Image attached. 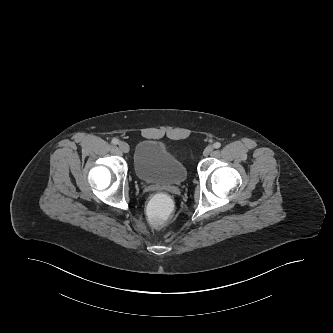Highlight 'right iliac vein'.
<instances>
[{"instance_id": "1", "label": "right iliac vein", "mask_w": 333, "mask_h": 333, "mask_svg": "<svg viewBox=\"0 0 333 333\" xmlns=\"http://www.w3.org/2000/svg\"><path fill=\"white\" fill-rule=\"evenodd\" d=\"M118 147L123 153H128L130 149L129 145L126 142H120L118 144Z\"/></svg>"}]
</instances>
